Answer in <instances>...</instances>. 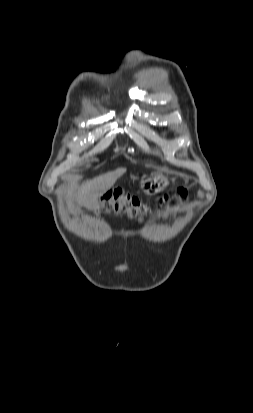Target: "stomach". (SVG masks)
Listing matches in <instances>:
<instances>
[{"label": "stomach", "instance_id": "1", "mask_svg": "<svg viewBox=\"0 0 253 413\" xmlns=\"http://www.w3.org/2000/svg\"><path fill=\"white\" fill-rule=\"evenodd\" d=\"M168 185V181L163 176L151 174L144 175L141 179V190L147 195L161 192Z\"/></svg>", "mask_w": 253, "mask_h": 413}]
</instances>
